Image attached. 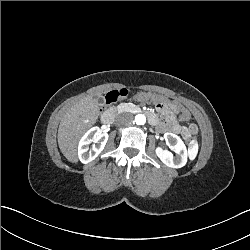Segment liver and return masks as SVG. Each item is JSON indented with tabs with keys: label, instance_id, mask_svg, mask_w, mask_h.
<instances>
[{
	"label": "liver",
	"instance_id": "liver-1",
	"mask_svg": "<svg viewBox=\"0 0 250 250\" xmlns=\"http://www.w3.org/2000/svg\"><path fill=\"white\" fill-rule=\"evenodd\" d=\"M100 96V95H98ZM99 116V103L92 96L78 100L63 116L58 129V145L70 162H78L77 145L81 136Z\"/></svg>",
	"mask_w": 250,
	"mask_h": 250
}]
</instances>
